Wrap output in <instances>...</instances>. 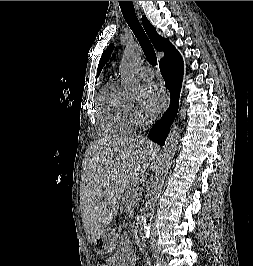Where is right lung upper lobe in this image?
<instances>
[{"mask_svg": "<svg viewBox=\"0 0 253 266\" xmlns=\"http://www.w3.org/2000/svg\"><path fill=\"white\" fill-rule=\"evenodd\" d=\"M142 23L155 49L157 51L164 52V57L160 60V62L172 57L174 54L178 52L168 39L161 37L156 32L155 28L148 21L146 16H142Z\"/></svg>", "mask_w": 253, "mask_h": 266, "instance_id": "1", "label": "right lung upper lobe"}]
</instances>
